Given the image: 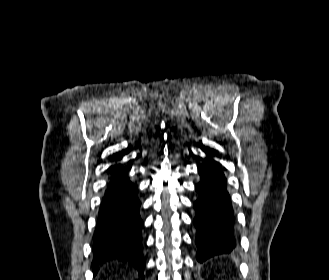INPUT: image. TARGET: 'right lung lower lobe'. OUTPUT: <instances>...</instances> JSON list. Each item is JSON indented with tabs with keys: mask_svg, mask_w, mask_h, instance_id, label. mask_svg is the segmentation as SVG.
<instances>
[{
	"mask_svg": "<svg viewBox=\"0 0 329 280\" xmlns=\"http://www.w3.org/2000/svg\"><path fill=\"white\" fill-rule=\"evenodd\" d=\"M111 180L100 207L93 237V271L100 265L118 260L134 266L144 278L139 216L140 201L136 187L128 180V169L118 164L110 168Z\"/></svg>",
	"mask_w": 329,
	"mask_h": 280,
	"instance_id": "right-lung-lower-lobe-1",
	"label": "right lung lower lobe"
}]
</instances>
